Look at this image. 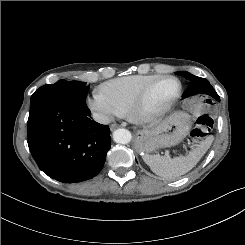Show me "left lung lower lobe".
Masks as SVG:
<instances>
[{"mask_svg": "<svg viewBox=\"0 0 245 245\" xmlns=\"http://www.w3.org/2000/svg\"><path fill=\"white\" fill-rule=\"evenodd\" d=\"M213 98H214L215 100H217V101H220V98H219V95H218V94H214V95H213Z\"/></svg>", "mask_w": 245, "mask_h": 245, "instance_id": "left-lung-lower-lobe-1", "label": "left lung lower lobe"}]
</instances>
